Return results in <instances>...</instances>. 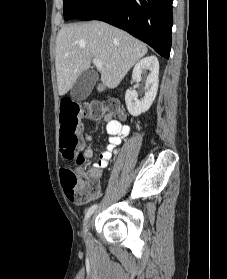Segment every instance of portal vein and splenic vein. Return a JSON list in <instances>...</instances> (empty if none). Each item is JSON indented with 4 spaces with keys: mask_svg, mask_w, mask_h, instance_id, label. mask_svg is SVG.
Here are the masks:
<instances>
[{
    "mask_svg": "<svg viewBox=\"0 0 227 279\" xmlns=\"http://www.w3.org/2000/svg\"><path fill=\"white\" fill-rule=\"evenodd\" d=\"M93 63L98 69H103V63L100 59L94 58Z\"/></svg>",
    "mask_w": 227,
    "mask_h": 279,
    "instance_id": "1",
    "label": "portal vein and splenic vein"
}]
</instances>
